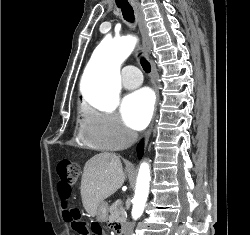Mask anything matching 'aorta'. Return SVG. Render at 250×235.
<instances>
[{"label": "aorta", "mask_w": 250, "mask_h": 235, "mask_svg": "<svg viewBox=\"0 0 250 235\" xmlns=\"http://www.w3.org/2000/svg\"><path fill=\"white\" fill-rule=\"evenodd\" d=\"M137 42L136 37L126 36L114 42L103 40L95 49L86 69L87 81L82 90L91 103L103 108L114 106L119 97V65L130 55ZM150 166L140 165L133 198L132 218L141 217L149 194Z\"/></svg>", "instance_id": "aorta-1"}]
</instances>
